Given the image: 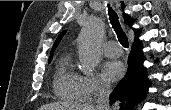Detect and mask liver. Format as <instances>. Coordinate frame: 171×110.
<instances>
[{
    "label": "liver",
    "mask_w": 171,
    "mask_h": 110,
    "mask_svg": "<svg viewBox=\"0 0 171 110\" xmlns=\"http://www.w3.org/2000/svg\"><path fill=\"white\" fill-rule=\"evenodd\" d=\"M39 110H97L94 106H82L67 102H54L43 105Z\"/></svg>",
    "instance_id": "liver-1"
}]
</instances>
